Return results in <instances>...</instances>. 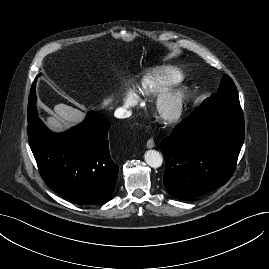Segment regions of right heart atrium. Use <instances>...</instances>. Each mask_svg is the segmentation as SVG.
<instances>
[{
  "mask_svg": "<svg viewBox=\"0 0 269 269\" xmlns=\"http://www.w3.org/2000/svg\"><path fill=\"white\" fill-rule=\"evenodd\" d=\"M123 104L126 108H133L138 104V97L132 91H126Z\"/></svg>",
  "mask_w": 269,
  "mask_h": 269,
  "instance_id": "1",
  "label": "right heart atrium"
}]
</instances>
